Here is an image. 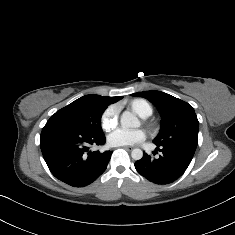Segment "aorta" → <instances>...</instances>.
<instances>
[{"mask_svg": "<svg viewBox=\"0 0 235 235\" xmlns=\"http://www.w3.org/2000/svg\"><path fill=\"white\" fill-rule=\"evenodd\" d=\"M120 123L123 129L138 128L140 126L139 119L129 111L123 112ZM131 157L134 160H140L143 157V151L139 148H135L131 151Z\"/></svg>", "mask_w": 235, "mask_h": 235, "instance_id": "aorta-1", "label": "aorta"}]
</instances>
